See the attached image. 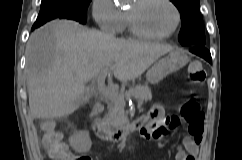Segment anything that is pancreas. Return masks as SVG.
Segmentation results:
<instances>
[{"mask_svg":"<svg viewBox=\"0 0 242 160\" xmlns=\"http://www.w3.org/2000/svg\"><path fill=\"white\" fill-rule=\"evenodd\" d=\"M131 97L137 99L139 104H142L144 101L151 100L152 93L148 85H137L131 87L125 94L119 95L118 99H111L108 105V114L104 118L109 126L118 128L128 122L124 111L125 99Z\"/></svg>","mask_w":242,"mask_h":160,"instance_id":"pancreas-1","label":"pancreas"}]
</instances>
